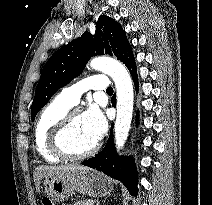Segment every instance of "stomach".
<instances>
[{
	"mask_svg": "<svg viewBox=\"0 0 212 205\" xmlns=\"http://www.w3.org/2000/svg\"><path fill=\"white\" fill-rule=\"evenodd\" d=\"M43 188L52 200L63 202L76 193L97 198L106 196L112 192L113 184L108 177L96 172L66 173L45 176Z\"/></svg>",
	"mask_w": 212,
	"mask_h": 205,
	"instance_id": "0dacf381",
	"label": "stomach"
}]
</instances>
